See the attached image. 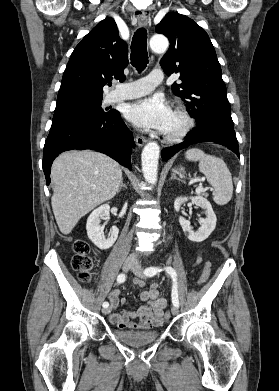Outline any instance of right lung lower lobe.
Here are the masks:
<instances>
[{
	"label": "right lung lower lobe",
	"instance_id": "right-lung-lower-lobe-1",
	"mask_svg": "<svg viewBox=\"0 0 279 391\" xmlns=\"http://www.w3.org/2000/svg\"><path fill=\"white\" fill-rule=\"evenodd\" d=\"M133 135L118 111L101 119H65L52 122L43 152L46 184L55 157L67 150L93 149L105 153L131 170Z\"/></svg>",
	"mask_w": 279,
	"mask_h": 391
}]
</instances>
